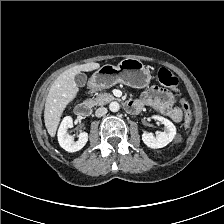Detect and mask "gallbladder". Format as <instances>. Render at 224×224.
<instances>
[{
	"mask_svg": "<svg viewBox=\"0 0 224 224\" xmlns=\"http://www.w3.org/2000/svg\"><path fill=\"white\" fill-rule=\"evenodd\" d=\"M74 80L78 87H84L87 82V76L84 73H78Z\"/></svg>",
	"mask_w": 224,
	"mask_h": 224,
	"instance_id": "bac80fb5",
	"label": "gallbladder"
}]
</instances>
